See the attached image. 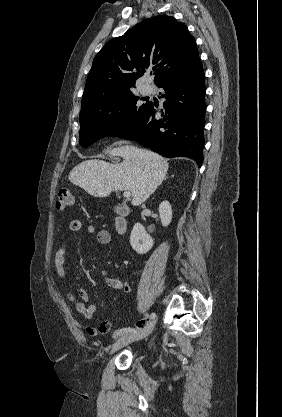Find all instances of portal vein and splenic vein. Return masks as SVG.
Listing matches in <instances>:
<instances>
[{
  "instance_id": "obj_1",
  "label": "portal vein and splenic vein",
  "mask_w": 282,
  "mask_h": 417,
  "mask_svg": "<svg viewBox=\"0 0 282 417\" xmlns=\"http://www.w3.org/2000/svg\"><path fill=\"white\" fill-rule=\"evenodd\" d=\"M123 196H125V198H128V196H131L130 190H125V192H123Z\"/></svg>"
}]
</instances>
